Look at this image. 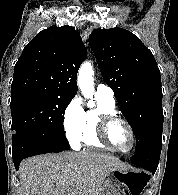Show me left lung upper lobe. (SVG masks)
Wrapping results in <instances>:
<instances>
[{"label": "left lung upper lobe", "instance_id": "left-lung-upper-lobe-1", "mask_svg": "<svg viewBox=\"0 0 178 195\" xmlns=\"http://www.w3.org/2000/svg\"><path fill=\"white\" fill-rule=\"evenodd\" d=\"M101 74L136 137V152L162 145L161 77L152 52L122 28L96 29L89 36Z\"/></svg>", "mask_w": 178, "mask_h": 195}]
</instances>
